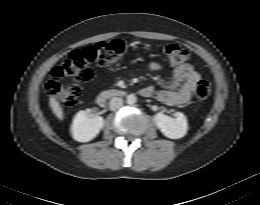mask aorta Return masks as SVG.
Instances as JSON below:
<instances>
[{"mask_svg":"<svg viewBox=\"0 0 260 205\" xmlns=\"http://www.w3.org/2000/svg\"><path fill=\"white\" fill-rule=\"evenodd\" d=\"M136 101H137V98L134 94H129L127 96V100H126L127 104L132 105V104H135Z\"/></svg>","mask_w":260,"mask_h":205,"instance_id":"762f6f07","label":"aorta"}]
</instances>
